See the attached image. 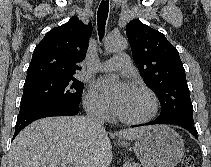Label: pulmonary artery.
Instances as JSON below:
<instances>
[{
	"label": "pulmonary artery",
	"mask_w": 211,
	"mask_h": 167,
	"mask_svg": "<svg viewBox=\"0 0 211 167\" xmlns=\"http://www.w3.org/2000/svg\"><path fill=\"white\" fill-rule=\"evenodd\" d=\"M131 61L127 54L121 53L118 54L106 61H103L97 67L99 72H111L116 70H129L131 69Z\"/></svg>",
	"instance_id": "pulmonary-artery-1"
}]
</instances>
